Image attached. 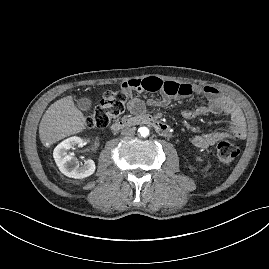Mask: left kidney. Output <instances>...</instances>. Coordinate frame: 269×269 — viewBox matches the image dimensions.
<instances>
[{
  "mask_svg": "<svg viewBox=\"0 0 269 269\" xmlns=\"http://www.w3.org/2000/svg\"><path fill=\"white\" fill-rule=\"evenodd\" d=\"M196 161H201V158H200V157H197V158H196Z\"/></svg>",
  "mask_w": 269,
  "mask_h": 269,
  "instance_id": "1",
  "label": "left kidney"
}]
</instances>
